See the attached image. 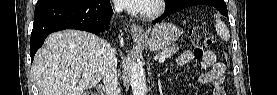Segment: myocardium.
Returning <instances> with one entry per match:
<instances>
[{
    "instance_id": "myocardium-1",
    "label": "myocardium",
    "mask_w": 277,
    "mask_h": 95,
    "mask_svg": "<svg viewBox=\"0 0 277 95\" xmlns=\"http://www.w3.org/2000/svg\"><path fill=\"white\" fill-rule=\"evenodd\" d=\"M151 3L152 5L149 8H144L138 12L143 19H155L159 17L165 9L164 0H151Z\"/></svg>"
}]
</instances>
